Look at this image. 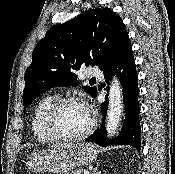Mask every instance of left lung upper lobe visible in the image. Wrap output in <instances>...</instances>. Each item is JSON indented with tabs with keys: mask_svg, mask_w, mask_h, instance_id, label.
Here are the masks:
<instances>
[{
	"mask_svg": "<svg viewBox=\"0 0 175 174\" xmlns=\"http://www.w3.org/2000/svg\"><path fill=\"white\" fill-rule=\"evenodd\" d=\"M130 44L122 19L109 8H96L52 27L36 46L25 72L24 110L38 95L56 86H77L82 65L109 68ZM84 89L94 97L95 87Z\"/></svg>",
	"mask_w": 175,
	"mask_h": 174,
	"instance_id": "left-lung-upper-lobe-1",
	"label": "left lung upper lobe"
}]
</instances>
